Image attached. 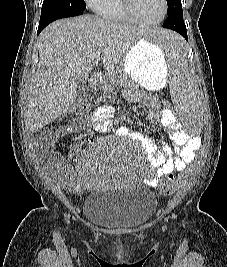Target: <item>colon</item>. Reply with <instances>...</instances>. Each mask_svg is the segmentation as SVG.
I'll return each instance as SVG.
<instances>
[{"label": "colon", "mask_w": 227, "mask_h": 267, "mask_svg": "<svg viewBox=\"0 0 227 267\" xmlns=\"http://www.w3.org/2000/svg\"><path fill=\"white\" fill-rule=\"evenodd\" d=\"M89 106L88 99L78 100L74 106L76 115L80 118L84 117L89 110ZM160 109H173V101L163 100ZM162 178H165L163 182L164 193L171 194L174 190L175 178H179V173H162Z\"/></svg>", "instance_id": "1"}]
</instances>
